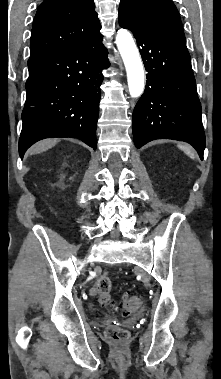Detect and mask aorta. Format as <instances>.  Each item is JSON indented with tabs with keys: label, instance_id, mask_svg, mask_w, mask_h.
<instances>
[{
	"label": "aorta",
	"instance_id": "1",
	"mask_svg": "<svg viewBox=\"0 0 221 379\" xmlns=\"http://www.w3.org/2000/svg\"><path fill=\"white\" fill-rule=\"evenodd\" d=\"M116 44L127 71L129 93L133 98L140 97L145 86L144 70L139 51L131 33L126 29L118 30Z\"/></svg>",
	"mask_w": 221,
	"mask_h": 379
}]
</instances>
